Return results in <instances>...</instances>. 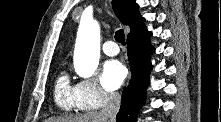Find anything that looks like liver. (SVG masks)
<instances>
[{
  "instance_id": "6515ba94",
  "label": "liver",
  "mask_w": 221,
  "mask_h": 122,
  "mask_svg": "<svg viewBox=\"0 0 221 122\" xmlns=\"http://www.w3.org/2000/svg\"><path fill=\"white\" fill-rule=\"evenodd\" d=\"M44 122H108L100 112H88L83 115L67 118H48Z\"/></svg>"
}]
</instances>
